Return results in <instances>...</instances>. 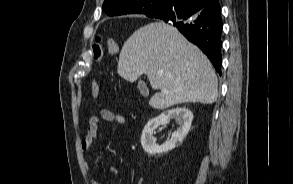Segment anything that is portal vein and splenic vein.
<instances>
[{"label":"portal vein and splenic vein","mask_w":293,"mask_h":184,"mask_svg":"<svg viewBox=\"0 0 293 184\" xmlns=\"http://www.w3.org/2000/svg\"><path fill=\"white\" fill-rule=\"evenodd\" d=\"M162 92L167 93V90H162Z\"/></svg>","instance_id":"18ae733b"}]
</instances>
